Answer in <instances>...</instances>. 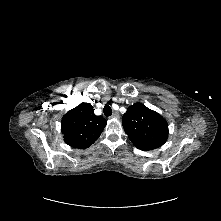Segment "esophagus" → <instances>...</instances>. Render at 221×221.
<instances>
[{"label":"esophagus","instance_id":"obj_1","mask_svg":"<svg viewBox=\"0 0 221 221\" xmlns=\"http://www.w3.org/2000/svg\"><path fill=\"white\" fill-rule=\"evenodd\" d=\"M110 118L118 119L119 118V114L117 112H115V113H113V115Z\"/></svg>","mask_w":221,"mask_h":221}]
</instances>
